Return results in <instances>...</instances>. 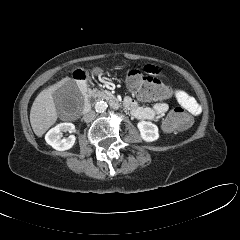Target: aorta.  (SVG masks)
<instances>
[{
  "mask_svg": "<svg viewBox=\"0 0 240 240\" xmlns=\"http://www.w3.org/2000/svg\"><path fill=\"white\" fill-rule=\"evenodd\" d=\"M108 105L105 101H98L95 104V110L97 113H103L104 111H106Z\"/></svg>",
  "mask_w": 240,
  "mask_h": 240,
  "instance_id": "aorta-1",
  "label": "aorta"
}]
</instances>
